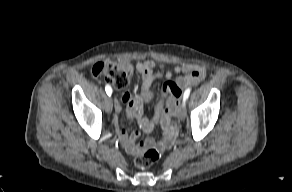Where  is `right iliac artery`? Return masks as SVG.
<instances>
[{
    "instance_id": "1",
    "label": "right iliac artery",
    "mask_w": 292,
    "mask_h": 192,
    "mask_svg": "<svg viewBox=\"0 0 292 192\" xmlns=\"http://www.w3.org/2000/svg\"><path fill=\"white\" fill-rule=\"evenodd\" d=\"M105 90H106V93H107L109 96H111V94H112V88H111V86L106 85V86H105Z\"/></svg>"
}]
</instances>
